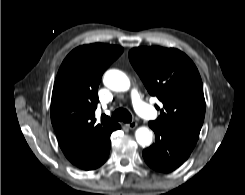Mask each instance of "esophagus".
<instances>
[{"label":"esophagus","instance_id":"34e87169","mask_svg":"<svg viewBox=\"0 0 245 195\" xmlns=\"http://www.w3.org/2000/svg\"><path fill=\"white\" fill-rule=\"evenodd\" d=\"M125 126L129 129H134L137 126V123L135 121H132L130 123L125 124Z\"/></svg>","mask_w":245,"mask_h":195}]
</instances>
